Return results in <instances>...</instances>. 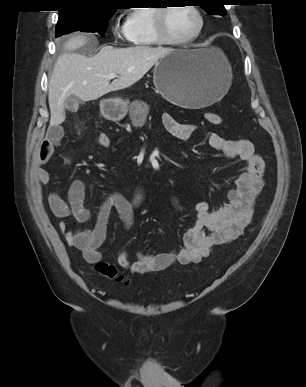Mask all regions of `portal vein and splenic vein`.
Segmentation results:
<instances>
[{
    "label": "portal vein and splenic vein",
    "mask_w": 306,
    "mask_h": 387,
    "mask_svg": "<svg viewBox=\"0 0 306 387\" xmlns=\"http://www.w3.org/2000/svg\"><path fill=\"white\" fill-rule=\"evenodd\" d=\"M117 77V74H115V73H111V74H108L107 75V78L108 79H114V78H116Z\"/></svg>",
    "instance_id": "portal-vein-and-splenic-vein-1"
}]
</instances>
